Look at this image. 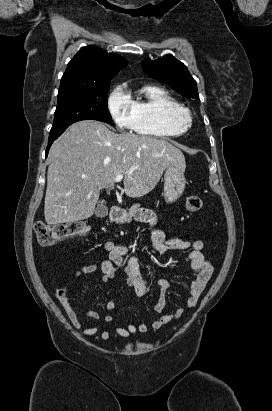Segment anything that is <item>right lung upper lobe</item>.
Wrapping results in <instances>:
<instances>
[{"label":"right lung upper lobe","instance_id":"1","mask_svg":"<svg viewBox=\"0 0 272 411\" xmlns=\"http://www.w3.org/2000/svg\"><path fill=\"white\" fill-rule=\"evenodd\" d=\"M127 64L128 61L117 54L108 53L96 46H86L69 62L58 92L109 84L117 71Z\"/></svg>","mask_w":272,"mask_h":411}]
</instances>
